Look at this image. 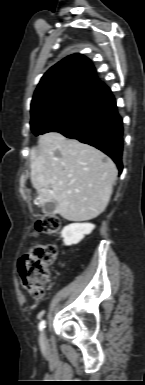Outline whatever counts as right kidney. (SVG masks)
<instances>
[{"mask_svg": "<svg viewBox=\"0 0 145 385\" xmlns=\"http://www.w3.org/2000/svg\"><path fill=\"white\" fill-rule=\"evenodd\" d=\"M95 228L91 223H73L63 228L61 237L64 245L71 246L78 244L85 235H89Z\"/></svg>", "mask_w": 145, "mask_h": 385, "instance_id": "right-kidney-1", "label": "right kidney"}]
</instances>
